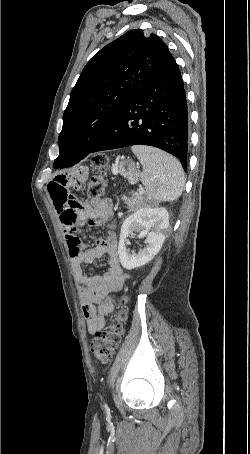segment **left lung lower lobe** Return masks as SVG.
I'll use <instances>...</instances> for the list:
<instances>
[{
	"label": "left lung lower lobe",
	"mask_w": 250,
	"mask_h": 454,
	"mask_svg": "<svg viewBox=\"0 0 250 454\" xmlns=\"http://www.w3.org/2000/svg\"><path fill=\"white\" fill-rule=\"evenodd\" d=\"M138 144L174 155L186 171L187 101L181 73L173 57L132 96L89 153ZM86 156L64 154L54 161V168L73 166Z\"/></svg>",
	"instance_id": "0a47b994"
}]
</instances>
